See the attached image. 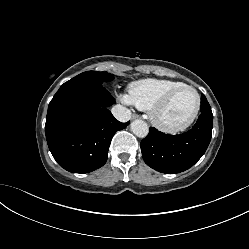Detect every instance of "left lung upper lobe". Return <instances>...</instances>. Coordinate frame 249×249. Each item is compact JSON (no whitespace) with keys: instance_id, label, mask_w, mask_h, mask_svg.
I'll return each mask as SVG.
<instances>
[{"instance_id":"obj_1","label":"left lung upper lobe","mask_w":249,"mask_h":249,"mask_svg":"<svg viewBox=\"0 0 249 249\" xmlns=\"http://www.w3.org/2000/svg\"><path fill=\"white\" fill-rule=\"evenodd\" d=\"M205 100V102H201V108L200 111L201 112H211V107L206 99V97L204 95L201 96V101Z\"/></svg>"}]
</instances>
